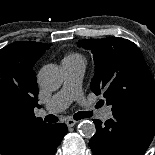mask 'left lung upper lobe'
<instances>
[{
    "instance_id": "left-lung-upper-lobe-1",
    "label": "left lung upper lobe",
    "mask_w": 155,
    "mask_h": 155,
    "mask_svg": "<svg viewBox=\"0 0 155 155\" xmlns=\"http://www.w3.org/2000/svg\"><path fill=\"white\" fill-rule=\"evenodd\" d=\"M78 46L92 51L96 73L91 90L103 93L113 113L155 110V81L141 50L124 38L83 39Z\"/></svg>"
}]
</instances>
